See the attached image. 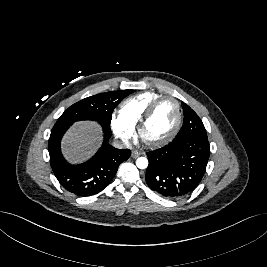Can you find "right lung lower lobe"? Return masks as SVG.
I'll use <instances>...</instances> for the list:
<instances>
[{"mask_svg": "<svg viewBox=\"0 0 267 267\" xmlns=\"http://www.w3.org/2000/svg\"><path fill=\"white\" fill-rule=\"evenodd\" d=\"M104 131V143L87 162L80 165L69 164L62 156L60 142L72 124L54 125L48 142L50 164L60 184L77 196H90L105 189L115 176L121 162L127 160L129 149H116L108 140L111 136L109 125L100 123Z\"/></svg>", "mask_w": 267, "mask_h": 267, "instance_id": "right-lung-lower-lobe-1", "label": "right lung lower lobe"}]
</instances>
